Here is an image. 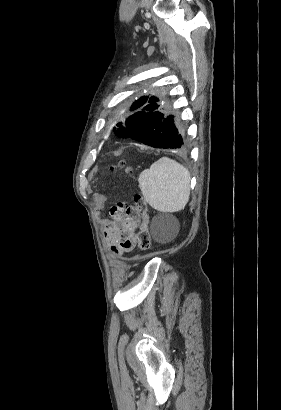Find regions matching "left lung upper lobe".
<instances>
[{"mask_svg":"<svg viewBox=\"0 0 281 410\" xmlns=\"http://www.w3.org/2000/svg\"><path fill=\"white\" fill-rule=\"evenodd\" d=\"M149 99H150V97H148V96L141 97L139 100H137L133 103V105L131 107V110L133 111V110L140 109L141 107L145 106L148 103ZM118 126L120 127V125H118ZM118 130L115 133L118 136L122 135L123 131L121 129L119 131Z\"/></svg>","mask_w":281,"mask_h":410,"instance_id":"5c2ea615","label":"left lung upper lobe"}]
</instances>
